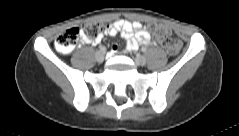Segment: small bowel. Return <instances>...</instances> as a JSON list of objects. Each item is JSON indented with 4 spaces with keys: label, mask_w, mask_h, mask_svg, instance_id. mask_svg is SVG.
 <instances>
[{
    "label": "small bowel",
    "mask_w": 239,
    "mask_h": 136,
    "mask_svg": "<svg viewBox=\"0 0 239 136\" xmlns=\"http://www.w3.org/2000/svg\"><path fill=\"white\" fill-rule=\"evenodd\" d=\"M118 34H121L126 39L125 49L127 51H134L140 45H150L152 43L151 35L141 23L125 19H119L109 24L106 31L95 39H90L82 34V41L86 44L98 45L104 36L114 37ZM117 52L118 47L116 45L112 46L110 53L114 55Z\"/></svg>",
    "instance_id": "obj_1"
}]
</instances>
